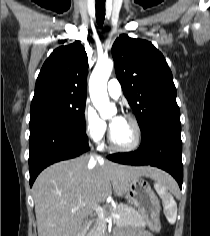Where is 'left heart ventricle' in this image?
Instances as JSON below:
<instances>
[{
	"instance_id": "b2bd125f",
	"label": "left heart ventricle",
	"mask_w": 210,
	"mask_h": 236,
	"mask_svg": "<svg viewBox=\"0 0 210 236\" xmlns=\"http://www.w3.org/2000/svg\"><path fill=\"white\" fill-rule=\"evenodd\" d=\"M112 139L119 146H127L134 140L135 132L132 123L125 118L111 129Z\"/></svg>"
}]
</instances>
